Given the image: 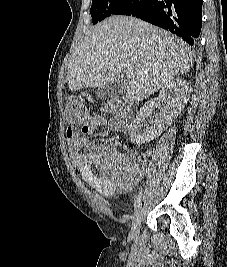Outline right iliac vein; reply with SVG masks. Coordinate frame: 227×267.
Segmentation results:
<instances>
[{
    "label": "right iliac vein",
    "instance_id": "63e3f726",
    "mask_svg": "<svg viewBox=\"0 0 227 267\" xmlns=\"http://www.w3.org/2000/svg\"><path fill=\"white\" fill-rule=\"evenodd\" d=\"M141 217H142V204L140 203L133 216L132 226L129 233V236L131 238H136L139 234Z\"/></svg>",
    "mask_w": 227,
    "mask_h": 267
}]
</instances>
